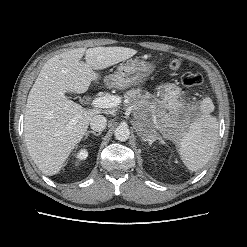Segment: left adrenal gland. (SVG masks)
<instances>
[{"mask_svg": "<svg viewBox=\"0 0 247 247\" xmlns=\"http://www.w3.org/2000/svg\"><path fill=\"white\" fill-rule=\"evenodd\" d=\"M156 140H159L160 143L164 144V141L162 140V138L156 134L155 136H152L150 138H143V141H148L149 145L151 146L153 144V142H155Z\"/></svg>", "mask_w": 247, "mask_h": 247, "instance_id": "1", "label": "left adrenal gland"}]
</instances>
